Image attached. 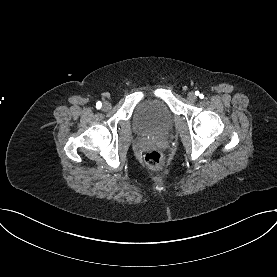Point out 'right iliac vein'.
<instances>
[{"label": "right iliac vein", "instance_id": "right-iliac-vein-1", "mask_svg": "<svg viewBox=\"0 0 277 277\" xmlns=\"http://www.w3.org/2000/svg\"><path fill=\"white\" fill-rule=\"evenodd\" d=\"M102 109L104 110V111H108L109 109H111V104L109 103V102H104L103 103V106H102Z\"/></svg>", "mask_w": 277, "mask_h": 277}]
</instances>
